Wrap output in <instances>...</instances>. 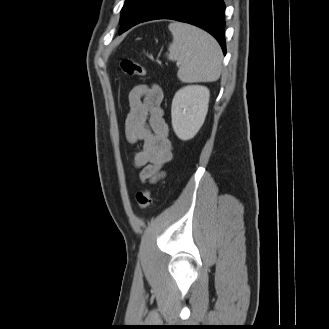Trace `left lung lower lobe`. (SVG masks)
<instances>
[{"mask_svg": "<svg viewBox=\"0 0 329 329\" xmlns=\"http://www.w3.org/2000/svg\"><path fill=\"white\" fill-rule=\"evenodd\" d=\"M224 11L223 0H148L133 13L126 27L119 33L141 22L172 19L204 29L219 42L225 54Z\"/></svg>", "mask_w": 329, "mask_h": 329, "instance_id": "0a47b994", "label": "left lung lower lobe"}]
</instances>
